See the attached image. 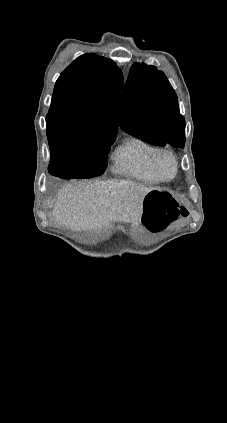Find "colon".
<instances>
[{
    "label": "colon",
    "instance_id": "obj_1",
    "mask_svg": "<svg viewBox=\"0 0 227 423\" xmlns=\"http://www.w3.org/2000/svg\"><path fill=\"white\" fill-rule=\"evenodd\" d=\"M187 210L164 189H155L144 200V224L151 230L166 227L179 216H185Z\"/></svg>",
    "mask_w": 227,
    "mask_h": 423
}]
</instances>
